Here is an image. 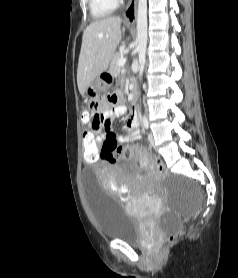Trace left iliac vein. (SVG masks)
<instances>
[{
	"mask_svg": "<svg viewBox=\"0 0 238 278\" xmlns=\"http://www.w3.org/2000/svg\"><path fill=\"white\" fill-rule=\"evenodd\" d=\"M148 141H149V143H150L152 146L155 145V139H154V136H153L152 133H149V134H148Z\"/></svg>",
	"mask_w": 238,
	"mask_h": 278,
	"instance_id": "left-iliac-vein-1",
	"label": "left iliac vein"
}]
</instances>
